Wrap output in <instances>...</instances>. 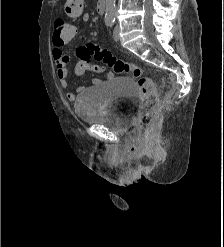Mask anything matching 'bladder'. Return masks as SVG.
<instances>
[{
	"label": "bladder",
	"mask_w": 224,
	"mask_h": 247,
	"mask_svg": "<svg viewBox=\"0 0 224 247\" xmlns=\"http://www.w3.org/2000/svg\"><path fill=\"white\" fill-rule=\"evenodd\" d=\"M138 107L135 82L129 77H114L85 88L75 101L74 111L85 124L124 133L132 127Z\"/></svg>",
	"instance_id": "bladder-1"
}]
</instances>
